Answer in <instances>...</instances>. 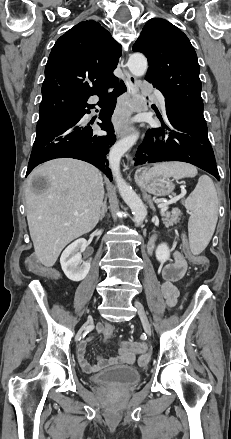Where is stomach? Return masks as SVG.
<instances>
[{
    "label": "stomach",
    "instance_id": "0dacf381",
    "mask_svg": "<svg viewBox=\"0 0 231 439\" xmlns=\"http://www.w3.org/2000/svg\"><path fill=\"white\" fill-rule=\"evenodd\" d=\"M136 183L146 192L163 197L173 192L175 185L165 176H150L149 170L140 168L135 173Z\"/></svg>",
    "mask_w": 231,
    "mask_h": 439
}]
</instances>
